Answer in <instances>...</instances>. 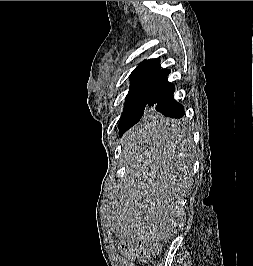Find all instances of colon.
I'll return each instance as SVG.
<instances>
[{"label":"colon","instance_id":"obj_1","mask_svg":"<svg viewBox=\"0 0 253 266\" xmlns=\"http://www.w3.org/2000/svg\"><path fill=\"white\" fill-rule=\"evenodd\" d=\"M120 250L129 256H136L145 261L150 259L159 248H145L144 242H134V245H130V242H123L120 245Z\"/></svg>","mask_w":253,"mask_h":266}]
</instances>
